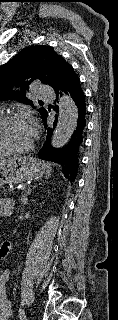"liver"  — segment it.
I'll list each match as a JSON object with an SVG mask.
<instances>
[{
    "instance_id": "1",
    "label": "liver",
    "mask_w": 118,
    "mask_h": 320,
    "mask_svg": "<svg viewBox=\"0 0 118 320\" xmlns=\"http://www.w3.org/2000/svg\"><path fill=\"white\" fill-rule=\"evenodd\" d=\"M5 160L0 161V163L4 162Z\"/></svg>"
}]
</instances>
